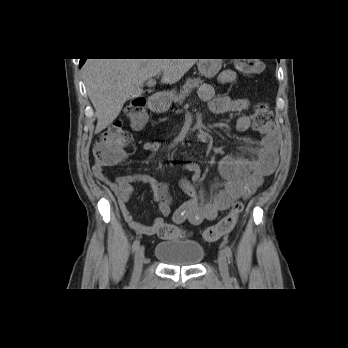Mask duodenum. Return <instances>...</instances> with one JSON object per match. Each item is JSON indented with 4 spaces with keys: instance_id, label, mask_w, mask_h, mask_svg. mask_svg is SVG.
Listing matches in <instances>:
<instances>
[{
    "instance_id": "duodenum-1",
    "label": "duodenum",
    "mask_w": 348,
    "mask_h": 348,
    "mask_svg": "<svg viewBox=\"0 0 348 348\" xmlns=\"http://www.w3.org/2000/svg\"><path fill=\"white\" fill-rule=\"evenodd\" d=\"M161 103L162 99L158 95H153L149 99V105L153 111H159L161 109Z\"/></svg>"
}]
</instances>
